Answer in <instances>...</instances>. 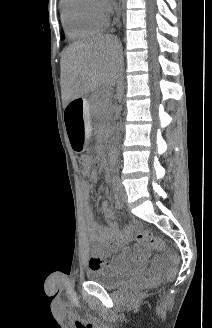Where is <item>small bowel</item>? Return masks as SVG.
I'll list each match as a JSON object with an SVG mask.
<instances>
[{"label": "small bowel", "mask_w": 212, "mask_h": 328, "mask_svg": "<svg viewBox=\"0 0 212 328\" xmlns=\"http://www.w3.org/2000/svg\"><path fill=\"white\" fill-rule=\"evenodd\" d=\"M81 173L88 176L91 182L98 181V172L93 170L92 173ZM91 183L89 181L81 182L82 198L86 205V228L92 240L98 243V249L106 256H113V261L102 263L98 258L97 264H91L92 269H104L106 271H114L118 273H126L133 271L143 266L149 257V247L137 246L133 250H125L118 254L123 243L129 240L135 231V224H129L122 230L118 228L114 222L115 213L106 202L100 206V210L108 222V225L102 227L94 220V205L90 202L89 195ZM118 206H120L118 204Z\"/></svg>", "instance_id": "obj_1"}]
</instances>
